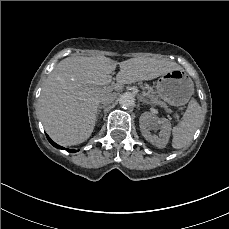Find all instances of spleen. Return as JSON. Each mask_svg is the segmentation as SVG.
I'll return each instance as SVG.
<instances>
[{
  "mask_svg": "<svg viewBox=\"0 0 229 229\" xmlns=\"http://www.w3.org/2000/svg\"><path fill=\"white\" fill-rule=\"evenodd\" d=\"M204 116L201 112L200 105L192 100L184 113L183 120L173 128V148L180 149L188 146L196 130L203 124Z\"/></svg>",
  "mask_w": 229,
  "mask_h": 229,
  "instance_id": "spleen-1",
  "label": "spleen"
}]
</instances>
